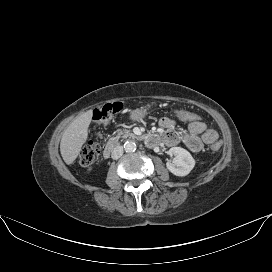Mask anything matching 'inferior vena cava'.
I'll use <instances>...</instances> for the list:
<instances>
[{
    "instance_id": "inferior-vena-cava-1",
    "label": "inferior vena cava",
    "mask_w": 272,
    "mask_h": 272,
    "mask_svg": "<svg viewBox=\"0 0 272 272\" xmlns=\"http://www.w3.org/2000/svg\"><path fill=\"white\" fill-rule=\"evenodd\" d=\"M124 149L123 146L117 145L114 147L111 157L114 160L119 159L123 155Z\"/></svg>"
}]
</instances>
